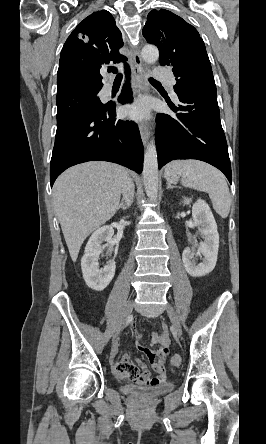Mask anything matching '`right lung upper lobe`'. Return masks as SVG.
Listing matches in <instances>:
<instances>
[{"instance_id": "1", "label": "right lung upper lobe", "mask_w": 266, "mask_h": 444, "mask_svg": "<svg viewBox=\"0 0 266 444\" xmlns=\"http://www.w3.org/2000/svg\"><path fill=\"white\" fill-rule=\"evenodd\" d=\"M122 46V34L108 11H97L86 17L72 31L61 50L57 97L100 91L103 86L101 67L110 61H126V57L118 52Z\"/></svg>"}]
</instances>
